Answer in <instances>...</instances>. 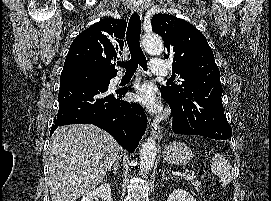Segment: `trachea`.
Instances as JSON below:
<instances>
[{
    "instance_id": "trachea-1",
    "label": "trachea",
    "mask_w": 271,
    "mask_h": 201,
    "mask_svg": "<svg viewBox=\"0 0 271 201\" xmlns=\"http://www.w3.org/2000/svg\"><path fill=\"white\" fill-rule=\"evenodd\" d=\"M140 34V17L137 13H133L129 19L126 37L131 59L126 62L123 61L118 63V65L126 69V74H134L138 65L147 71V60L140 47Z\"/></svg>"
}]
</instances>
